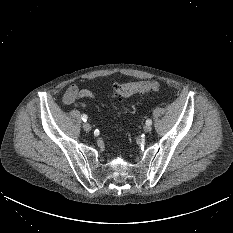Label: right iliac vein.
I'll return each instance as SVG.
<instances>
[{
    "mask_svg": "<svg viewBox=\"0 0 233 233\" xmlns=\"http://www.w3.org/2000/svg\"><path fill=\"white\" fill-rule=\"evenodd\" d=\"M83 129L86 131V132H89L91 130V126L88 122H85L83 124Z\"/></svg>",
    "mask_w": 233,
    "mask_h": 233,
    "instance_id": "63e3f726",
    "label": "right iliac vein"
}]
</instances>
